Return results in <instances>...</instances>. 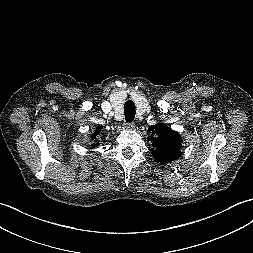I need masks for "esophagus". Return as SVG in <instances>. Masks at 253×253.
<instances>
[{"mask_svg": "<svg viewBox=\"0 0 253 253\" xmlns=\"http://www.w3.org/2000/svg\"><path fill=\"white\" fill-rule=\"evenodd\" d=\"M135 127V124L133 122H125L124 123V128L127 130H133Z\"/></svg>", "mask_w": 253, "mask_h": 253, "instance_id": "1", "label": "esophagus"}]
</instances>
